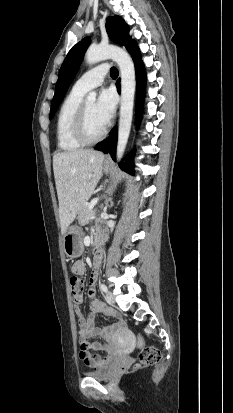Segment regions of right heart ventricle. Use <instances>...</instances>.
Wrapping results in <instances>:
<instances>
[{"instance_id": "1", "label": "right heart ventricle", "mask_w": 233, "mask_h": 413, "mask_svg": "<svg viewBox=\"0 0 233 413\" xmlns=\"http://www.w3.org/2000/svg\"><path fill=\"white\" fill-rule=\"evenodd\" d=\"M84 94V92L72 89L60 107L56 122V140L61 151L72 152L83 146L75 138L73 127Z\"/></svg>"}]
</instances>
